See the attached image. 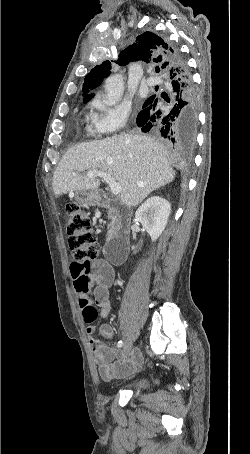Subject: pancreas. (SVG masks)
<instances>
[{
    "mask_svg": "<svg viewBox=\"0 0 250 454\" xmlns=\"http://www.w3.org/2000/svg\"><path fill=\"white\" fill-rule=\"evenodd\" d=\"M111 226H112V223H111V224H109V227H111Z\"/></svg>",
    "mask_w": 250,
    "mask_h": 454,
    "instance_id": "obj_1",
    "label": "pancreas"
}]
</instances>
